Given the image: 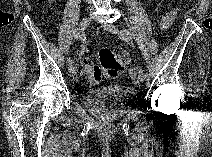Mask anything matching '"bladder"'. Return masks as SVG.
Returning a JSON list of instances; mask_svg holds the SVG:
<instances>
[{
    "label": "bladder",
    "mask_w": 212,
    "mask_h": 157,
    "mask_svg": "<svg viewBox=\"0 0 212 157\" xmlns=\"http://www.w3.org/2000/svg\"><path fill=\"white\" fill-rule=\"evenodd\" d=\"M138 92L128 86H105L79 93L82 107L96 117L113 121L125 115L137 98Z\"/></svg>",
    "instance_id": "1"
}]
</instances>
